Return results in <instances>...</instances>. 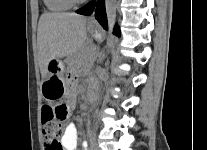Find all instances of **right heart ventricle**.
Returning <instances> with one entry per match:
<instances>
[{"label": "right heart ventricle", "mask_w": 207, "mask_h": 150, "mask_svg": "<svg viewBox=\"0 0 207 150\" xmlns=\"http://www.w3.org/2000/svg\"><path fill=\"white\" fill-rule=\"evenodd\" d=\"M44 4L52 12H64L72 7L69 0H44Z\"/></svg>", "instance_id": "e07e8e85"}]
</instances>
